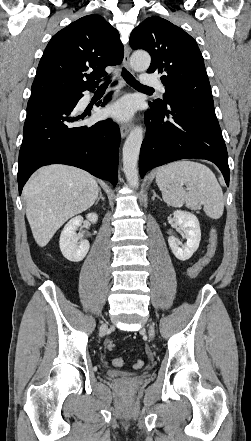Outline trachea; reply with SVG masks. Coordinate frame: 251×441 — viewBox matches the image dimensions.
<instances>
[{
    "instance_id": "1",
    "label": "trachea",
    "mask_w": 251,
    "mask_h": 441,
    "mask_svg": "<svg viewBox=\"0 0 251 441\" xmlns=\"http://www.w3.org/2000/svg\"><path fill=\"white\" fill-rule=\"evenodd\" d=\"M122 76L124 80L133 87L142 88V89H152L150 87L142 85L139 81H137L133 75L127 71L125 68L122 69ZM110 83V80H106L100 87H107Z\"/></svg>"
}]
</instances>
